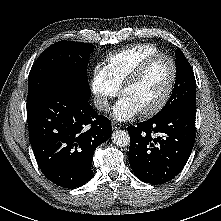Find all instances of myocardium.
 <instances>
[{
    "mask_svg": "<svg viewBox=\"0 0 221 221\" xmlns=\"http://www.w3.org/2000/svg\"><path fill=\"white\" fill-rule=\"evenodd\" d=\"M157 58H166L170 62L171 69H172L171 79L169 81L167 90L165 94L163 95V97L161 98V100L152 108L140 111V113L143 116H152V115L159 113L165 108V106L170 101L173 95L177 77H178V68H177V64L174 58L168 53H164V52H158V53H154V54L147 56L128 74V76L126 77V79L124 80V82L121 84V87H120V93L123 95L124 91L130 86L134 85L139 80V78L143 75V73L146 71L148 66Z\"/></svg>",
    "mask_w": 221,
    "mask_h": 221,
    "instance_id": "1",
    "label": "myocardium"
}]
</instances>
